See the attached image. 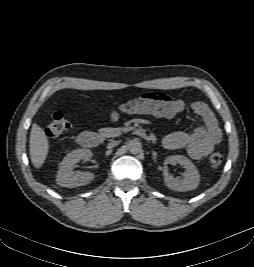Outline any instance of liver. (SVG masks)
I'll return each instance as SVG.
<instances>
[{
    "instance_id": "liver-1",
    "label": "liver",
    "mask_w": 254,
    "mask_h": 267,
    "mask_svg": "<svg viewBox=\"0 0 254 267\" xmlns=\"http://www.w3.org/2000/svg\"><path fill=\"white\" fill-rule=\"evenodd\" d=\"M29 151L33 166L36 169L41 168L49 152V141L44 130L36 123L31 128Z\"/></svg>"
}]
</instances>
